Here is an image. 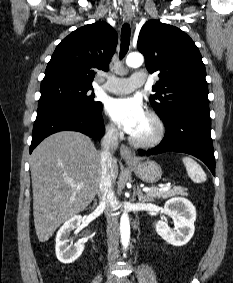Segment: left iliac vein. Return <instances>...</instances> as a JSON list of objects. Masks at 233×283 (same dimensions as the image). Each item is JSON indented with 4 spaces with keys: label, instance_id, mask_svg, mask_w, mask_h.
<instances>
[{
    "label": "left iliac vein",
    "instance_id": "4c4485c4",
    "mask_svg": "<svg viewBox=\"0 0 233 283\" xmlns=\"http://www.w3.org/2000/svg\"><path fill=\"white\" fill-rule=\"evenodd\" d=\"M122 283H130V282H127V281H122Z\"/></svg>",
    "mask_w": 233,
    "mask_h": 283
}]
</instances>
